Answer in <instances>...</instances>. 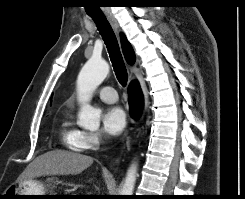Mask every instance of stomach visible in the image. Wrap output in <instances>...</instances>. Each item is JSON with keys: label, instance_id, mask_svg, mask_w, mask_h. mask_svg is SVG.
<instances>
[{"label": "stomach", "instance_id": "1", "mask_svg": "<svg viewBox=\"0 0 245 199\" xmlns=\"http://www.w3.org/2000/svg\"><path fill=\"white\" fill-rule=\"evenodd\" d=\"M9 192L14 199H40L41 196H15V195H48L44 186L37 181L26 180L9 188Z\"/></svg>", "mask_w": 245, "mask_h": 199}]
</instances>
